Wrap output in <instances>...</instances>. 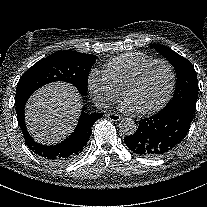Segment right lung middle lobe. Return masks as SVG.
I'll list each match as a JSON object with an SVG mask.
<instances>
[{
  "mask_svg": "<svg viewBox=\"0 0 207 207\" xmlns=\"http://www.w3.org/2000/svg\"><path fill=\"white\" fill-rule=\"evenodd\" d=\"M97 57L66 50L53 53L30 67L17 84L15 104L27 100L39 87L55 81L73 84L82 95L87 93L88 75Z\"/></svg>",
  "mask_w": 207,
  "mask_h": 207,
  "instance_id": "obj_1",
  "label": "right lung middle lobe"
}]
</instances>
